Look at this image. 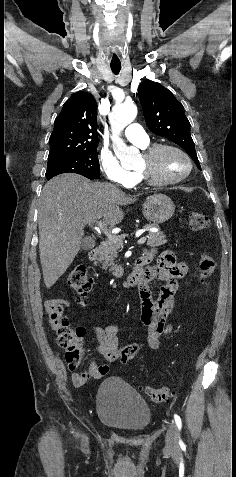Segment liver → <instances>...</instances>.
<instances>
[{
    "mask_svg": "<svg viewBox=\"0 0 236 477\" xmlns=\"http://www.w3.org/2000/svg\"><path fill=\"white\" fill-rule=\"evenodd\" d=\"M136 200L112 184L90 182L77 174H62L43 187L39 214V253L44 283L53 286L73 262L81 247L84 228L99 219L119 224L120 206Z\"/></svg>",
    "mask_w": 236,
    "mask_h": 477,
    "instance_id": "liver-1",
    "label": "liver"
}]
</instances>
